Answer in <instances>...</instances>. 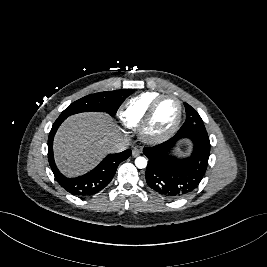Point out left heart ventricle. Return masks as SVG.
Listing matches in <instances>:
<instances>
[{"label":"left heart ventricle","instance_id":"1","mask_svg":"<svg viewBox=\"0 0 267 267\" xmlns=\"http://www.w3.org/2000/svg\"><path fill=\"white\" fill-rule=\"evenodd\" d=\"M178 115V104L172 98L163 100L157 107L149 124V132L161 135L169 131L174 125Z\"/></svg>","mask_w":267,"mask_h":267}]
</instances>
